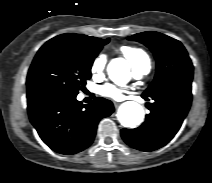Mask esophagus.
Instances as JSON below:
<instances>
[{
  "label": "esophagus",
  "mask_w": 212,
  "mask_h": 183,
  "mask_svg": "<svg viewBox=\"0 0 212 183\" xmlns=\"http://www.w3.org/2000/svg\"><path fill=\"white\" fill-rule=\"evenodd\" d=\"M113 103H114V106H115V107H118V105H119L118 102L114 101Z\"/></svg>",
  "instance_id": "obj_1"
}]
</instances>
